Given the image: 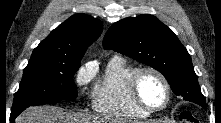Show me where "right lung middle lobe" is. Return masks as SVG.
Returning a JSON list of instances; mask_svg holds the SVG:
<instances>
[{"label":"right lung middle lobe","instance_id":"dd1d6c3e","mask_svg":"<svg viewBox=\"0 0 221 123\" xmlns=\"http://www.w3.org/2000/svg\"><path fill=\"white\" fill-rule=\"evenodd\" d=\"M79 67L80 60L31 58L15 93L12 113H21L29 106L75 99L73 76Z\"/></svg>","mask_w":221,"mask_h":123}]
</instances>
